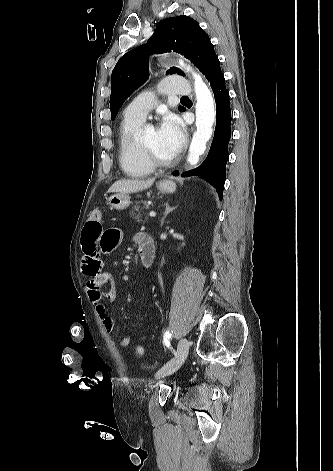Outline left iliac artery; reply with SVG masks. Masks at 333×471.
Returning <instances> with one entry per match:
<instances>
[{
	"label": "left iliac artery",
	"mask_w": 333,
	"mask_h": 471,
	"mask_svg": "<svg viewBox=\"0 0 333 471\" xmlns=\"http://www.w3.org/2000/svg\"><path fill=\"white\" fill-rule=\"evenodd\" d=\"M171 338V332L169 330H167L165 333H164V336H163V339H164V344L169 347L170 346V342H169V339ZM168 367V366H167ZM162 370H165V367L162 369Z\"/></svg>",
	"instance_id": "obj_1"
}]
</instances>
